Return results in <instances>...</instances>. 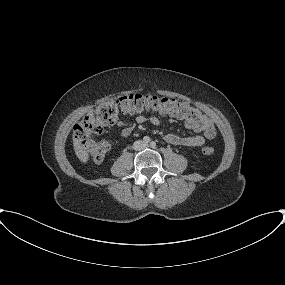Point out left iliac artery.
Listing matches in <instances>:
<instances>
[{
    "instance_id": "left-iliac-artery-1",
    "label": "left iliac artery",
    "mask_w": 285,
    "mask_h": 285,
    "mask_svg": "<svg viewBox=\"0 0 285 285\" xmlns=\"http://www.w3.org/2000/svg\"><path fill=\"white\" fill-rule=\"evenodd\" d=\"M150 146H151L152 148H155V147H156V143L152 141V142L150 143Z\"/></svg>"
}]
</instances>
